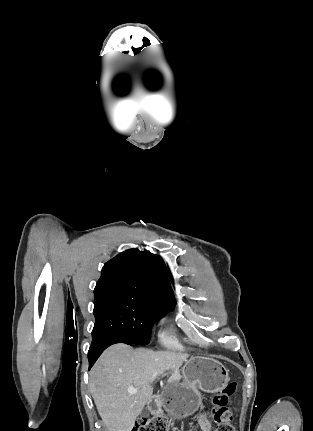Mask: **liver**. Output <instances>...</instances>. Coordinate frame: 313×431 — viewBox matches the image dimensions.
I'll return each mask as SVG.
<instances>
[{
	"label": "liver",
	"mask_w": 313,
	"mask_h": 431,
	"mask_svg": "<svg viewBox=\"0 0 313 431\" xmlns=\"http://www.w3.org/2000/svg\"><path fill=\"white\" fill-rule=\"evenodd\" d=\"M186 353L133 349L115 344L106 349L90 372L89 388L108 431H131L136 418L152 398L153 382L167 371L179 377ZM129 387L137 388L130 394Z\"/></svg>",
	"instance_id": "1"
}]
</instances>
